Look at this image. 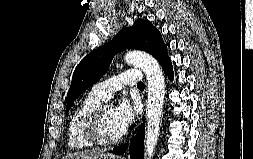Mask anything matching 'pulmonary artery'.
<instances>
[{"label":"pulmonary artery","instance_id":"pulmonary-artery-1","mask_svg":"<svg viewBox=\"0 0 253 159\" xmlns=\"http://www.w3.org/2000/svg\"><path fill=\"white\" fill-rule=\"evenodd\" d=\"M140 82H142L141 72L139 70L128 69L117 76L93 85L91 92L103 100H108L114 92L121 88L125 86H137Z\"/></svg>","mask_w":253,"mask_h":159}]
</instances>
